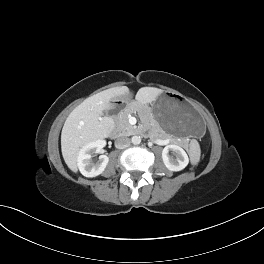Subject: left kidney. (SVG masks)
<instances>
[{"label": "left kidney", "instance_id": "5707ae66", "mask_svg": "<svg viewBox=\"0 0 264 264\" xmlns=\"http://www.w3.org/2000/svg\"><path fill=\"white\" fill-rule=\"evenodd\" d=\"M171 152L176 158L169 155ZM162 159L166 168L170 171H181L189 163V158L183 148L178 145L170 144L164 147Z\"/></svg>", "mask_w": 264, "mask_h": 264}]
</instances>
